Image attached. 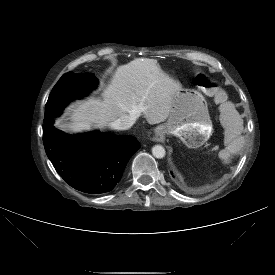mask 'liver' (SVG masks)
Listing matches in <instances>:
<instances>
[{"label":"liver","instance_id":"1","mask_svg":"<svg viewBox=\"0 0 275 275\" xmlns=\"http://www.w3.org/2000/svg\"><path fill=\"white\" fill-rule=\"evenodd\" d=\"M180 88L155 59H135L119 66L103 99L91 98L75 105L69 123L60 127L72 132L89 131L93 127L111 126L118 117L144 116L148 123L164 122L170 113L171 97Z\"/></svg>","mask_w":275,"mask_h":275}]
</instances>
